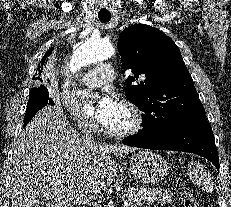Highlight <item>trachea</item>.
<instances>
[{
	"instance_id": "1",
	"label": "trachea",
	"mask_w": 231,
	"mask_h": 207,
	"mask_svg": "<svg viewBox=\"0 0 231 207\" xmlns=\"http://www.w3.org/2000/svg\"><path fill=\"white\" fill-rule=\"evenodd\" d=\"M98 17L102 23H107L111 19V14L109 13L98 14Z\"/></svg>"
}]
</instances>
